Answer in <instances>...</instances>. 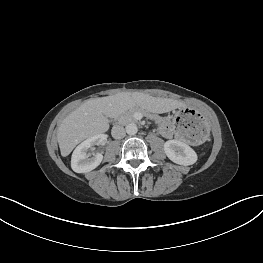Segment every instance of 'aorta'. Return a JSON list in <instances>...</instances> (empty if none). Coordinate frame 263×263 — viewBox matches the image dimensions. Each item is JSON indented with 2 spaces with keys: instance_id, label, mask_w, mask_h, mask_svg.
I'll use <instances>...</instances> for the list:
<instances>
[{
  "instance_id": "obj_1",
  "label": "aorta",
  "mask_w": 263,
  "mask_h": 263,
  "mask_svg": "<svg viewBox=\"0 0 263 263\" xmlns=\"http://www.w3.org/2000/svg\"><path fill=\"white\" fill-rule=\"evenodd\" d=\"M125 131L129 135H134V134L137 133L138 127H137V125L135 123H129V124L126 125Z\"/></svg>"
}]
</instances>
